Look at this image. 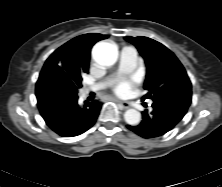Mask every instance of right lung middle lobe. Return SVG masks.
Wrapping results in <instances>:
<instances>
[{
	"label": "right lung middle lobe",
	"instance_id": "right-lung-middle-lobe-1",
	"mask_svg": "<svg viewBox=\"0 0 222 187\" xmlns=\"http://www.w3.org/2000/svg\"><path fill=\"white\" fill-rule=\"evenodd\" d=\"M56 71L64 78L71 90L78 91L82 87L83 72L70 66L57 67Z\"/></svg>",
	"mask_w": 222,
	"mask_h": 187
}]
</instances>
